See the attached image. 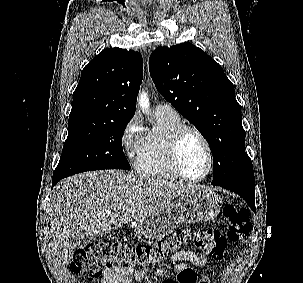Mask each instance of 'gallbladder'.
I'll return each instance as SVG.
<instances>
[{
	"label": "gallbladder",
	"mask_w": 303,
	"mask_h": 283,
	"mask_svg": "<svg viewBox=\"0 0 303 283\" xmlns=\"http://www.w3.org/2000/svg\"><path fill=\"white\" fill-rule=\"evenodd\" d=\"M91 239H92L91 237H86V236L78 238L75 242V250L85 248L87 244H89Z\"/></svg>",
	"instance_id": "obj_1"
}]
</instances>
